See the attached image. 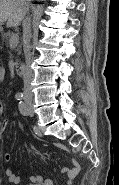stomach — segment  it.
I'll return each instance as SVG.
<instances>
[{
	"label": "stomach",
	"mask_w": 119,
	"mask_h": 185,
	"mask_svg": "<svg viewBox=\"0 0 119 185\" xmlns=\"http://www.w3.org/2000/svg\"><path fill=\"white\" fill-rule=\"evenodd\" d=\"M2 31V27L0 26V32Z\"/></svg>",
	"instance_id": "obj_1"
}]
</instances>
